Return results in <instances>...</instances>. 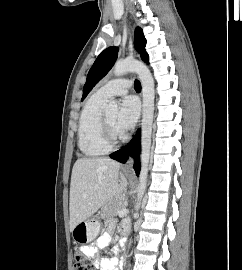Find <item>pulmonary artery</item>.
Instances as JSON below:
<instances>
[{
	"label": "pulmonary artery",
	"instance_id": "pulmonary-artery-1",
	"mask_svg": "<svg viewBox=\"0 0 242 270\" xmlns=\"http://www.w3.org/2000/svg\"><path fill=\"white\" fill-rule=\"evenodd\" d=\"M132 82L126 79H113L101 86L95 93L102 99H109L113 96L124 95L128 92Z\"/></svg>",
	"mask_w": 242,
	"mask_h": 270
}]
</instances>
